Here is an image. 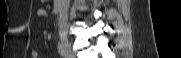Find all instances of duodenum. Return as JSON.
<instances>
[{
  "instance_id": "1",
  "label": "duodenum",
  "mask_w": 181,
  "mask_h": 58,
  "mask_svg": "<svg viewBox=\"0 0 181 58\" xmlns=\"http://www.w3.org/2000/svg\"><path fill=\"white\" fill-rule=\"evenodd\" d=\"M64 0H55L54 1V6H55V10L58 12V13H61L63 11V8H64Z\"/></svg>"
}]
</instances>
